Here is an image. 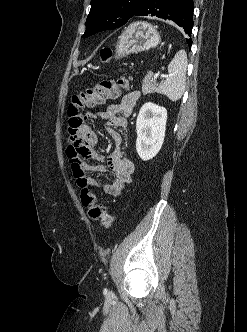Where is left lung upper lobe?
Instances as JSON below:
<instances>
[{
	"label": "left lung upper lobe",
	"instance_id": "left-lung-upper-lobe-1",
	"mask_svg": "<svg viewBox=\"0 0 247 332\" xmlns=\"http://www.w3.org/2000/svg\"><path fill=\"white\" fill-rule=\"evenodd\" d=\"M146 0H91L83 38L123 26Z\"/></svg>",
	"mask_w": 247,
	"mask_h": 332
}]
</instances>
